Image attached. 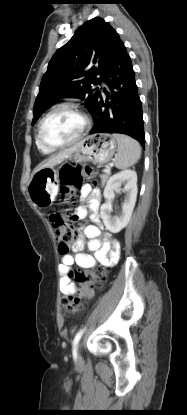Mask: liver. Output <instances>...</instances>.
I'll list each match as a JSON object with an SVG mask.
<instances>
[{
    "label": "liver",
    "mask_w": 187,
    "mask_h": 415,
    "mask_svg": "<svg viewBox=\"0 0 187 415\" xmlns=\"http://www.w3.org/2000/svg\"><path fill=\"white\" fill-rule=\"evenodd\" d=\"M79 148V143L64 149L63 151L59 152L56 155L51 156L47 159V161L41 165H39L35 170L34 173L40 169L47 168V167H54L55 165L61 163L64 159L68 158L72 153H74Z\"/></svg>",
    "instance_id": "obj_1"
}]
</instances>
